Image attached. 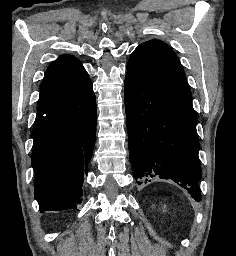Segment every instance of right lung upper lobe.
I'll use <instances>...</instances> for the list:
<instances>
[{
  "label": "right lung upper lobe",
  "mask_w": 236,
  "mask_h": 256,
  "mask_svg": "<svg viewBox=\"0 0 236 256\" xmlns=\"http://www.w3.org/2000/svg\"><path fill=\"white\" fill-rule=\"evenodd\" d=\"M89 81L88 73L76 58L62 55L52 62L45 72L37 114L58 103Z\"/></svg>",
  "instance_id": "right-lung-upper-lobe-1"
}]
</instances>
